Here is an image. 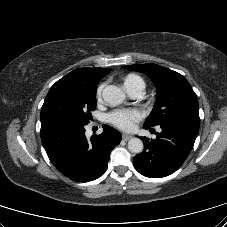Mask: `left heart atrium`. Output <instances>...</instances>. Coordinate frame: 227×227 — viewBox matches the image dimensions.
<instances>
[{"instance_id":"obj_1","label":"left heart atrium","mask_w":227,"mask_h":227,"mask_svg":"<svg viewBox=\"0 0 227 227\" xmlns=\"http://www.w3.org/2000/svg\"><path fill=\"white\" fill-rule=\"evenodd\" d=\"M107 118L116 127L123 130H130L133 128L135 122L142 118V113L137 109H120L111 112Z\"/></svg>"}]
</instances>
